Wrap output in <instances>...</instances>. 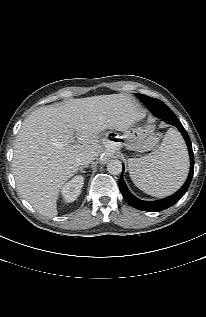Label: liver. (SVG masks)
Returning <instances> with one entry per match:
<instances>
[{
	"label": "liver",
	"mask_w": 206,
	"mask_h": 317,
	"mask_svg": "<svg viewBox=\"0 0 206 317\" xmlns=\"http://www.w3.org/2000/svg\"><path fill=\"white\" fill-rule=\"evenodd\" d=\"M125 94L72 99L33 111L22 123L12 161L17 189L40 214L55 217L63 184L82 153L102 151L100 133L127 131L145 117Z\"/></svg>",
	"instance_id": "liver-1"
}]
</instances>
